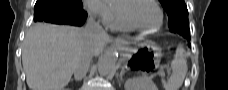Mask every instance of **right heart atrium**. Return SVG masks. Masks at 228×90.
<instances>
[{
  "label": "right heart atrium",
  "instance_id": "d8ad5b80",
  "mask_svg": "<svg viewBox=\"0 0 228 90\" xmlns=\"http://www.w3.org/2000/svg\"><path fill=\"white\" fill-rule=\"evenodd\" d=\"M84 6L92 17L97 18L101 23L105 25H108L113 16L111 1L85 0Z\"/></svg>",
  "mask_w": 228,
  "mask_h": 90
}]
</instances>
